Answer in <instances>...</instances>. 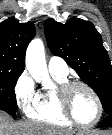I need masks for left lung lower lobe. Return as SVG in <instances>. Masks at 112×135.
Instances as JSON below:
<instances>
[{"instance_id": "left-lung-lower-lobe-1", "label": "left lung lower lobe", "mask_w": 112, "mask_h": 135, "mask_svg": "<svg viewBox=\"0 0 112 135\" xmlns=\"http://www.w3.org/2000/svg\"><path fill=\"white\" fill-rule=\"evenodd\" d=\"M97 127H112V114L107 115V117Z\"/></svg>"}]
</instances>
